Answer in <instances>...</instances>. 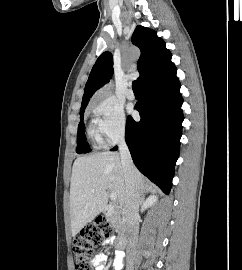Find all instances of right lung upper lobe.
Masks as SVG:
<instances>
[{
    "mask_svg": "<svg viewBox=\"0 0 242 270\" xmlns=\"http://www.w3.org/2000/svg\"><path fill=\"white\" fill-rule=\"evenodd\" d=\"M132 43L141 51L137 68L140 73L138 80L142 85L151 75L164 67L171 60V53L165 47V42L157 33L149 28L137 26ZM113 74V58L110 52L102 53L94 64L88 81L85 85L81 109L86 108L89 99Z\"/></svg>",
    "mask_w": 242,
    "mask_h": 270,
    "instance_id": "obj_1",
    "label": "right lung upper lobe"
}]
</instances>
